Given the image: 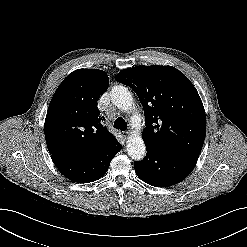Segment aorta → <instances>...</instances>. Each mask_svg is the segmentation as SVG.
Wrapping results in <instances>:
<instances>
[{
    "mask_svg": "<svg viewBox=\"0 0 247 247\" xmlns=\"http://www.w3.org/2000/svg\"><path fill=\"white\" fill-rule=\"evenodd\" d=\"M110 96L112 103L119 109L127 111L133 104L131 92L123 85L113 87ZM132 126L135 129H139L138 117L132 118ZM127 152L128 155L135 161L142 160L146 155V146L138 130L130 136L127 144Z\"/></svg>",
    "mask_w": 247,
    "mask_h": 247,
    "instance_id": "aorta-1",
    "label": "aorta"
}]
</instances>
